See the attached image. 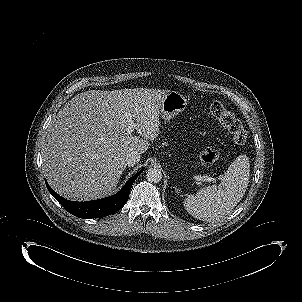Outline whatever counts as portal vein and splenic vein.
Masks as SVG:
<instances>
[{"label": "portal vein and splenic vein", "mask_w": 302, "mask_h": 302, "mask_svg": "<svg viewBox=\"0 0 302 302\" xmlns=\"http://www.w3.org/2000/svg\"><path fill=\"white\" fill-rule=\"evenodd\" d=\"M127 119H128V122H129L128 134H131L135 129V123L132 120V115L130 113L128 114ZM194 179L196 181H202V182H215L214 178L209 177L207 175H203V176L196 175V176H194Z\"/></svg>", "instance_id": "1"}]
</instances>
